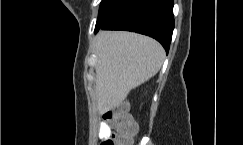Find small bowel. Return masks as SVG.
Here are the masks:
<instances>
[{
	"instance_id": "c3829d8e",
	"label": "small bowel",
	"mask_w": 243,
	"mask_h": 145,
	"mask_svg": "<svg viewBox=\"0 0 243 145\" xmlns=\"http://www.w3.org/2000/svg\"><path fill=\"white\" fill-rule=\"evenodd\" d=\"M112 132V129L111 127L105 123V122H102L99 126V138H100V141L106 137H108Z\"/></svg>"
}]
</instances>
